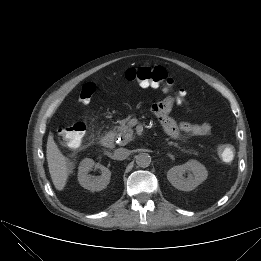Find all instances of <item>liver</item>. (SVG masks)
<instances>
[{
  "label": "liver",
  "mask_w": 261,
  "mask_h": 261,
  "mask_svg": "<svg viewBox=\"0 0 261 261\" xmlns=\"http://www.w3.org/2000/svg\"><path fill=\"white\" fill-rule=\"evenodd\" d=\"M46 158L52 182L57 190L62 191L69 176L68 159L59 150L52 134L48 136Z\"/></svg>",
  "instance_id": "6515ba94"
}]
</instances>
